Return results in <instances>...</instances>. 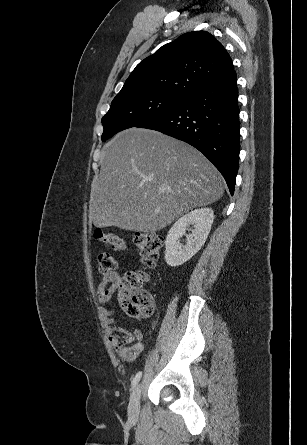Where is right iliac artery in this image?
I'll return each instance as SVG.
<instances>
[{
    "mask_svg": "<svg viewBox=\"0 0 307 445\" xmlns=\"http://www.w3.org/2000/svg\"><path fill=\"white\" fill-rule=\"evenodd\" d=\"M142 372L139 371L136 376L133 378L132 380V387H135L136 384L139 382L140 378H141Z\"/></svg>",
    "mask_w": 307,
    "mask_h": 445,
    "instance_id": "1",
    "label": "right iliac artery"
}]
</instances>
